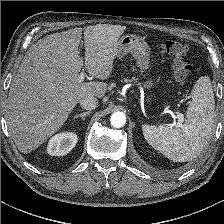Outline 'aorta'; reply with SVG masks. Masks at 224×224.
I'll return each instance as SVG.
<instances>
[{"label":"aorta","mask_w":224,"mask_h":224,"mask_svg":"<svg viewBox=\"0 0 224 224\" xmlns=\"http://www.w3.org/2000/svg\"><path fill=\"white\" fill-rule=\"evenodd\" d=\"M110 122L111 125L115 128L123 127L126 122V116L123 112H115L112 114Z\"/></svg>","instance_id":"762f6f07"}]
</instances>
